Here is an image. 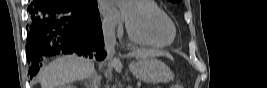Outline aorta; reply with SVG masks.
I'll return each instance as SVG.
<instances>
[{
    "mask_svg": "<svg viewBox=\"0 0 267 88\" xmlns=\"http://www.w3.org/2000/svg\"><path fill=\"white\" fill-rule=\"evenodd\" d=\"M117 2L120 6H123L127 2V0H117Z\"/></svg>",
    "mask_w": 267,
    "mask_h": 88,
    "instance_id": "obj_1",
    "label": "aorta"
}]
</instances>
